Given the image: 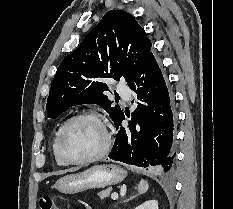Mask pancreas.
<instances>
[{"instance_id": "cf45deb5", "label": "pancreas", "mask_w": 233, "mask_h": 209, "mask_svg": "<svg viewBox=\"0 0 233 209\" xmlns=\"http://www.w3.org/2000/svg\"><path fill=\"white\" fill-rule=\"evenodd\" d=\"M107 195H108V194H107V192H105V191H102V192L99 193V197H100L101 199L105 198Z\"/></svg>"}]
</instances>
